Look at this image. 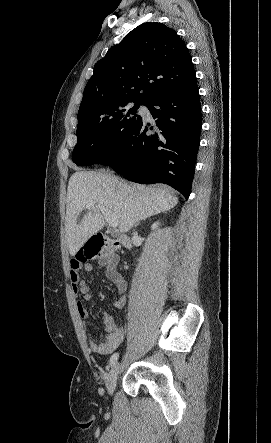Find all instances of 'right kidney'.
<instances>
[{
	"mask_svg": "<svg viewBox=\"0 0 271 443\" xmlns=\"http://www.w3.org/2000/svg\"><path fill=\"white\" fill-rule=\"evenodd\" d=\"M158 225H159V222H155V223H152L151 227H152V229H157Z\"/></svg>",
	"mask_w": 271,
	"mask_h": 443,
	"instance_id": "ca27d5eb",
	"label": "right kidney"
}]
</instances>
